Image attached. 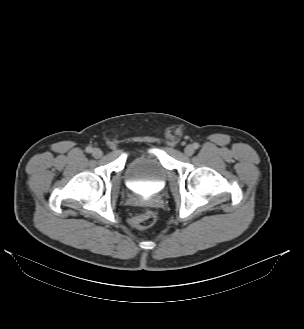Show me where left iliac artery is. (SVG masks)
<instances>
[{
    "instance_id": "1",
    "label": "left iliac artery",
    "mask_w": 304,
    "mask_h": 329,
    "mask_svg": "<svg viewBox=\"0 0 304 329\" xmlns=\"http://www.w3.org/2000/svg\"><path fill=\"white\" fill-rule=\"evenodd\" d=\"M193 147H194L195 149H198V148H199V144H198V143H194V144H193Z\"/></svg>"
}]
</instances>
